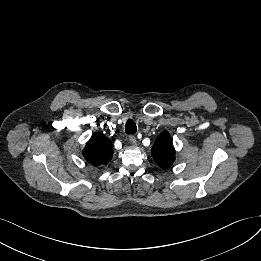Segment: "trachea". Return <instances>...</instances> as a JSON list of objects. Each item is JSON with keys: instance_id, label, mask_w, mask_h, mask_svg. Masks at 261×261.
I'll return each mask as SVG.
<instances>
[{"instance_id": "1", "label": "trachea", "mask_w": 261, "mask_h": 261, "mask_svg": "<svg viewBox=\"0 0 261 261\" xmlns=\"http://www.w3.org/2000/svg\"><path fill=\"white\" fill-rule=\"evenodd\" d=\"M125 131L127 134H134L137 131L136 124L133 120H128L125 125Z\"/></svg>"}]
</instances>
